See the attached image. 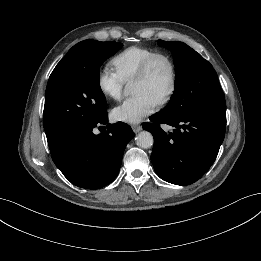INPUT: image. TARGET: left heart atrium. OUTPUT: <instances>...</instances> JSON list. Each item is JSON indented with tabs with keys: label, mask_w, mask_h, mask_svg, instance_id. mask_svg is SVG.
<instances>
[{
	"label": "left heart atrium",
	"mask_w": 261,
	"mask_h": 261,
	"mask_svg": "<svg viewBox=\"0 0 261 261\" xmlns=\"http://www.w3.org/2000/svg\"><path fill=\"white\" fill-rule=\"evenodd\" d=\"M157 102L145 93H137L114 107L111 117L114 121L135 124L151 115Z\"/></svg>",
	"instance_id": "1"
}]
</instances>
